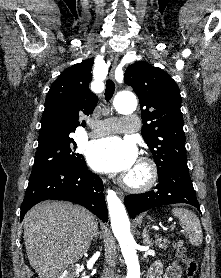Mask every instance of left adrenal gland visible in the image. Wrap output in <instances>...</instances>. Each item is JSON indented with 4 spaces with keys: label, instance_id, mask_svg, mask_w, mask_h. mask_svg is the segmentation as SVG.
Masks as SVG:
<instances>
[{
    "label": "left adrenal gland",
    "instance_id": "obj_1",
    "mask_svg": "<svg viewBox=\"0 0 221 278\" xmlns=\"http://www.w3.org/2000/svg\"><path fill=\"white\" fill-rule=\"evenodd\" d=\"M143 243L146 245H152V240L149 238L147 234V228L145 227L142 232Z\"/></svg>",
    "mask_w": 221,
    "mask_h": 278
}]
</instances>
